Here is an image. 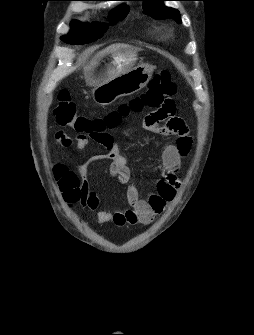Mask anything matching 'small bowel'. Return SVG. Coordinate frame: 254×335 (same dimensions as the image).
Wrapping results in <instances>:
<instances>
[{
  "label": "small bowel",
  "mask_w": 254,
  "mask_h": 335,
  "mask_svg": "<svg viewBox=\"0 0 254 335\" xmlns=\"http://www.w3.org/2000/svg\"><path fill=\"white\" fill-rule=\"evenodd\" d=\"M162 103L160 108H150L144 122V129L154 134L176 135L177 138L175 142L168 143L163 147L160 163L162 179L159 181L156 191L150 194L147 199L140 196L136 186L131 183V170L127 165V159L119 143L110 136L107 153L91 156L85 162L77 164L74 170H70L64 164L55 166V179L66 202L70 204L79 202L83 208L96 211L98 223L112 222L117 226L149 224L156 215L164 211L167 204L174 199L180 186L178 171L182 161L190 153L192 140L184 121L175 116L174 100L164 98ZM56 139L63 147L75 145L78 150H83L90 141H93L79 136L72 139L62 134H57ZM98 161H110V175L128 186L126 198L129 209L124 211L107 208L97 210L99 199L88 188V173L90 165ZM61 166L64 167V171L60 169ZM77 189L81 193L79 199H75L73 196Z\"/></svg>",
  "instance_id": "c3829d8e"
}]
</instances>
